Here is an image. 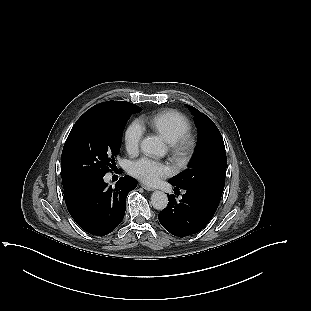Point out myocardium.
I'll return each instance as SVG.
<instances>
[{"label":"myocardium","instance_id":"obj_1","mask_svg":"<svg viewBox=\"0 0 311 311\" xmlns=\"http://www.w3.org/2000/svg\"><path fill=\"white\" fill-rule=\"evenodd\" d=\"M174 145V154L177 158H186L192 148V140L189 135L182 136Z\"/></svg>","mask_w":311,"mask_h":311}]
</instances>
